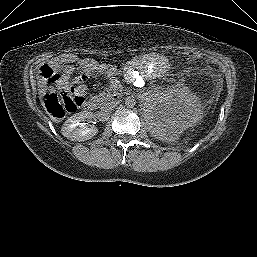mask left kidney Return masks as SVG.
Returning a JSON list of instances; mask_svg holds the SVG:
<instances>
[{
	"label": "left kidney",
	"mask_w": 257,
	"mask_h": 257,
	"mask_svg": "<svg viewBox=\"0 0 257 257\" xmlns=\"http://www.w3.org/2000/svg\"><path fill=\"white\" fill-rule=\"evenodd\" d=\"M150 131L162 141H175L201 119L197 97L188 89L165 91L154 96L146 107Z\"/></svg>",
	"instance_id": "obj_1"
}]
</instances>
